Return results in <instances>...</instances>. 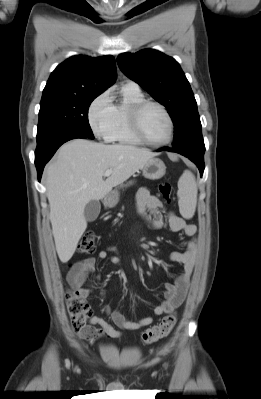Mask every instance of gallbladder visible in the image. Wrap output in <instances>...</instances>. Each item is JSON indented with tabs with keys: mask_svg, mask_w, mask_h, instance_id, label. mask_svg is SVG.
<instances>
[{
	"mask_svg": "<svg viewBox=\"0 0 261 399\" xmlns=\"http://www.w3.org/2000/svg\"><path fill=\"white\" fill-rule=\"evenodd\" d=\"M101 210L98 200H91L84 208V216L88 222L96 220Z\"/></svg>",
	"mask_w": 261,
	"mask_h": 399,
	"instance_id": "obj_1",
	"label": "gallbladder"
}]
</instances>
